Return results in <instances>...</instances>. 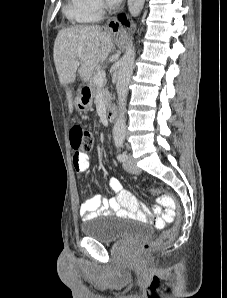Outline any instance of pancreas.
<instances>
[{
    "mask_svg": "<svg viewBox=\"0 0 227 298\" xmlns=\"http://www.w3.org/2000/svg\"><path fill=\"white\" fill-rule=\"evenodd\" d=\"M99 72V70L94 71L91 78H90V89L92 91V94L94 97H96L99 93L102 94L104 102L106 104V106L108 107L111 101V94L109 93V91L106 89L105 84L102 85H98L95 83L94 78L97 75V73Z\"/></svg>",
    "mask_w": 227,
    "mask_h": 298,
    "instance_id": "cf45deb5",
    "label": "pancreas"
}]
</instances>
